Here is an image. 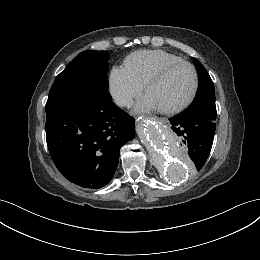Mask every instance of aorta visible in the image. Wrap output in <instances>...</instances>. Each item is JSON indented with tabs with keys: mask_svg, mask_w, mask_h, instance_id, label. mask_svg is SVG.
<instances>
[{
	"mask_svg": "<svg viewBox=\"0 0 260 260\" xmlns=\"http://www.w3.org/2000/svg\"><path fill=\"white\" fill-rule=\"evenodd\" d=\"M137 133L148 149L156 167L171 182L180 181L188 175V166L176 137L153 119L140 123Z\"/></svg>",
	"mask_w": 260,
	"mask_h": 260,
	"instance_id": "762f6f07",
	"label": "aorta"
}]
</instances>
